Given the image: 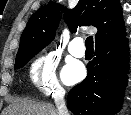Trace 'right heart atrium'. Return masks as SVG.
Listing matches in <instances>:
<instances>
[{
  "mask_svg": "<svg viewBox=\"0 0 131 115\" xmlns=\"http://www.w3.org/2000/svg\"><path fill=\"white\" fill-rule=\"evenodd\" d=\"M56 59L52 54L38 56L30 65L29 76L32 83L44 94L53 97L63 95L56 77Z\"/></svg>",
  "mask_w": 131,
  "mask_h": 115,
  "instance_id": "obj_1",
  "label": "right heart atrium"
}]
</instances>
